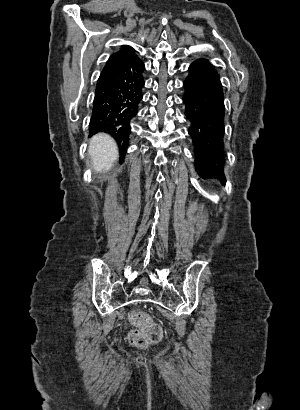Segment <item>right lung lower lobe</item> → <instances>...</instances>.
Masks as SVG:
<instances>
[{
    "label": "right lung lower lobe",
    "instance_id": "1",
    "mask_svg": "<svg viewBox=\"0 0 300 410\" xmlns=\"http://www.w3.org/2000/svg\"><path fill=\"white\" fill-rule=\"evenodd\" d=\"M144 69L138 57L127 59L106 66L97 81L90 133H109L116 139L122 156L128 146L130 122L136 117L143 97Z\"/></svg>",
    "mask_w": 300,
    "mask_h": 410
}]
</instances>
